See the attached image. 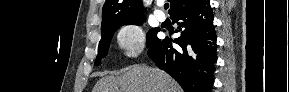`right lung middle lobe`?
Instances as JSON below:
<instances>
[{"label":"right lung middle lobe","instance_id":"1","mask_svg":"<svg viewBox=\"0 0 289 92\" xmlns=\"http://www.w3.org/2000/svg\"><path fill=\"white\" fill-rule=\"evenodd\" d=\"M145 19H138V20H133V21H128V22H121V23H116L113 24L103 30H101V40L99 43L98 47V55L96 57L95 64L100 65L101 64V59L107 55L109 45L111 42V38L113 33L122 25H129V24H135V25H141ZM157 28H152L148 34H147V47L149 48L152 44V42L157 38V33H158Z\"/></svg>","mask_w":289,"mask_h":92}]
</instances>
